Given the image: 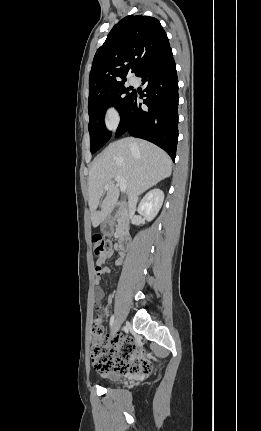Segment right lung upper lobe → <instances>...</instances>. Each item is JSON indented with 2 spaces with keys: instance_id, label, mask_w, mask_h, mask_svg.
I'll list each match as a JSON object with an SVG mask.
<instances>
[{
  "instance_id": "obj_1",
  "label": "right lung upper lobe",
  "mask_w": 261,
  "mask_h": 431,
  "mask_svg": "<svg viewBox=\"0 0 261 431\" xmlns=\"http://www.w3.org/2000/svg\"><path fill=\"white\" fill-rule=\"evenodd\" d=\"M169 47L159 20L150 16H127L110 31L97 50L89 76V94L125 81Z\"/></svg>"
}]
</instances>
